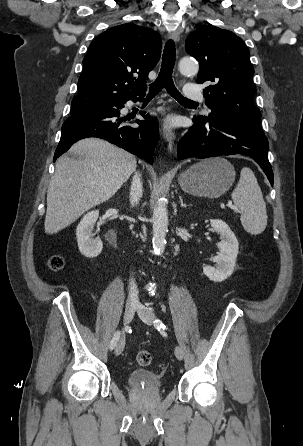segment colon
Wrapping results in <instances>:
<instances>
[{
	"instance_id": "1",
	"label": "colon",
	"mask_w": 303,
	"mask_h": 446,
	"mask_svg": "<svg viewBox=\"0 0 303 446\" xmlns=\"http://www.w3.org/2000/svg\"><path fill=\"white\" fill-rule=\"evenodd\" d=\"M65 261L63 257L54 255L49 260V266L52 270L58 271L64 267ZM137 362L141 366H148L152 361V355L149 351H140L137 354Z\"/></svg>"
}]
</instances>
